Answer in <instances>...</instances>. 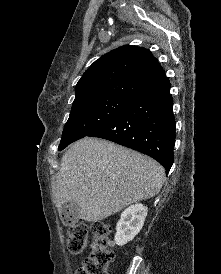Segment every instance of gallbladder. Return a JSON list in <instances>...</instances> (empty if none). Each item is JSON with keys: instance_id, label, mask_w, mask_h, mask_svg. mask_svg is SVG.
I'll return each instance as SVG.
<instances>
[{"instance_id": "1", "label": "gallbladder", "mask_w": 221, "mask_h": 274, "mask_svg": "<svg viewBox=\"0 0 221 274\" xmlns=\"http://www.w3.org/2000/svg\"><path fill=\"white\" fill-rule=\"evenodd\" d=\"M67 208L69 210L68 215V221H71L72 223H76L79 220V213H80V206L75 202L71 201L67 205Z\"/></svg>"}]
</instances>
